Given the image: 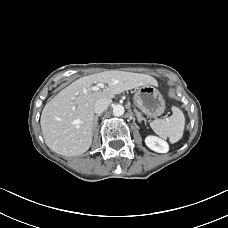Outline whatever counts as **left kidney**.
I'll return each mask as SVG.
<instances>
[{
	"instance_id": "1",
	"label": "left kidney",
	"mask_w": 228,
	"mask_h": 228,
	"mask_svg": "<svg viewBox=\"0 0 228 228\" xmlns=\"http://www.w3.org/2000/svg\"><path fill=\"white\" fill-rule=\"evenodd\" d=\"M145 143L147 147L158 153H166L169 150L168 144L156 136H147Z\"/></svg>"
}]
</instances>
